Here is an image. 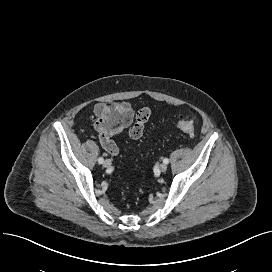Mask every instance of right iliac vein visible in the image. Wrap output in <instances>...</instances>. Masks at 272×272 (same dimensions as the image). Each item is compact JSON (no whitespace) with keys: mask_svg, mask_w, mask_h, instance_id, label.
Wrapping results in <instances>:
<instances>
[{"mask_svg":"<svg viewBox=\"0 0 272 272\" xmlns=\"http://www.w3.org/2000/svg\"><path fill=\"white\" fill-rule=\"evenodd\" d=\"M110 165H111V160H110V159H106V160L104 161V163H103V166H104L105 168H108Z\"/></svg>","mask_w":272,"mask_h":272,"instance_id":"right-iliac-vein-1","label":"right iliac vein"}]
</instances>
